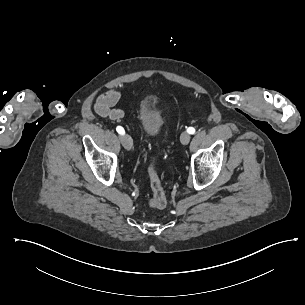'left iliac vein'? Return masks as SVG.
Instances as JSON below:
<instances>
[{
    "label": "left iliac vein",
    "mask_w": 305,
    "mask_h": 305,
    "mask_svg": "<svg viewBox=\"0 0 305 305\" xmlns=\"http://www.w3.org/2000/svg\"><path fill=\"white\" fill-rule=\"evenodd\" d=\"M190 139H191V136L188 132H183L180 136V141L183 145L188 144Z\"/></svg>",
    "instance_id": "left-iliac-vein-1"
}]
</instances>
